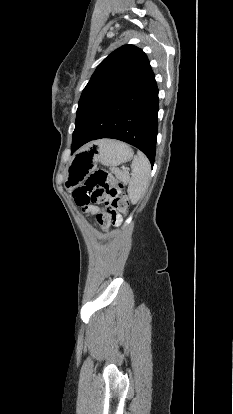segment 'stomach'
Returning <instances> with one entry per match:
<instances>
[{"mask_svg":"<svg viewBox=\"0 0 233 414\" xmlns=\"http://www.w3.org/2000/svg\"><path fill=\"white\" fill-rule=\"evenodd\" d=\"M132 149L125 143L115 140H101L89 148L76 152L69 163L65 186L73 189L82 184L86 177L96 169L97 164L116 167L131 160Z\"/></svg>","mask_w":233,"mask_h":414,"instance_id":"obj_1","label":"stomach"}]
</instances>
